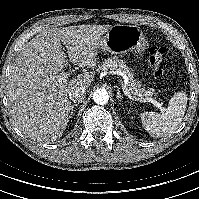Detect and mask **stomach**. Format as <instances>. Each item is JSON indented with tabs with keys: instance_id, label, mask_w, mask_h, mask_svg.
<instances>
[{
	"instance_id": "0dacf381",
	"label": "stomach",
	"mask_w": 199,
	"mask_h": 199,
	"mask_svg": "<svg viewBox=\"0 0 199 199\" xmlns=\"http://www.w3.org/2000/svg\"><path fill=\"white\" fill-rule=\"evenodd\" d=\"M98 48L112 54H141L146 45L143 31L136 25L117 24L97 41Z\"/></svg>"
}]
</instances>
